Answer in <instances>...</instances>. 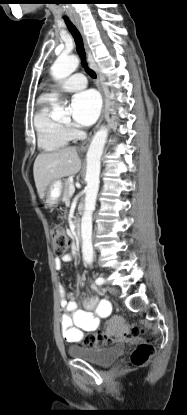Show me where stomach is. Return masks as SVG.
<instances>
[{
	"mask_svg": "<svg viewBox=\"0 0 187 415\" xmlns=\"http://www.w3.org/2000/svg\"><path fill=\"white\" fill-rule=\"evenodd\" d=\"M63 183L61 180L52 181L46 188L43 203L45 208H53L57 206L62 194Z\"/></svg>",
	"mask_w": 187,
	"mask_h": 415,
	"instance_id": "0dacf381",
	"label": "stomach"
}]
</instances>
